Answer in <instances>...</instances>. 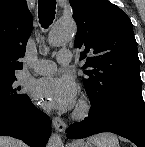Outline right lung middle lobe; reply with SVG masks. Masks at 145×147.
Masks as SVG:
<instances>
[{
    "mask_svg": "<svg viewBox=\"0 0 145 147\" xmlns=\"http://www.w3.org/2000/svg\"><path fill=\"white\" fill-rule=\"evenodd\" d=\"M20 90L15 74L0 76V108L21 106L28 96Z\"/></svg>",
    "mask_w": 145,
    "mask_h": 147,
    "instance_id": "1",
    "label": "right lung middle lobe"
}]
</instances>
